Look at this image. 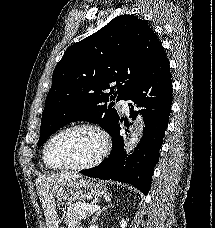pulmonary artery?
I'll use <instances>...</instances> for the list:
<instances>
[{
  "label": "pulmonary artery",
  "instance_id": "obj_1",
  "mask_svg": "<svg viewBox=\"0 0 215 228\" xmlns=\"http://www.w3.org/2000/svg\"><path fill=\"white\" fill-rule=\"evenodd\" d=\"M129 104V97H120V101L118 102V108L121 112L127 113L131 106Z\"/></svg>",
  "mask_w": 215,
  "mask_h": 228
}]
</instances>
